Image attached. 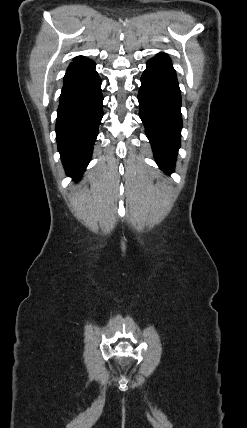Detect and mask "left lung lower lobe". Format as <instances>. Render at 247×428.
Masks as SVG:
<instances>
[{
    "instance_id": "0a47b994",
    "label": "left lung lower lobe",
    "mask_w": 247,
    "mask_h": 428,
    "mask_svg": "<svg viewBox=\"0 0 247 428\" xmlns=\"http://www.w3.org/2000/svg\"><path fill=\"white\" fill-rule=\"evenodd\" d=\"M138 101L156 162L165 172H173L182 129L181 92L167 54L159 53L147 62Z\"/></svg>"
}]
</instances>
